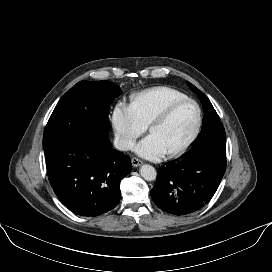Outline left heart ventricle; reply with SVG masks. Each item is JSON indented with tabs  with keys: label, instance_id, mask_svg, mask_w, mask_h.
Listing matches in <instances>:
<instances>
[{
	"label": "left heart ventricle",
	"instance_id": "b2bd125f",
	"mask_svg": "<svg viewBox=\"0 0 272 272\" xmlns=\"http://www.w3.org/2000/svg\"><path fill=\"white\" fill-rule=\"evenodd\" d=\"M196 108L192 104H184L163 123L154 126L150 135L157 138L165 153L183 145L190 137L196 124Z\"/></svg>",
	"mask_w": 272,
	"mask_h": 272
}]
</instances>
